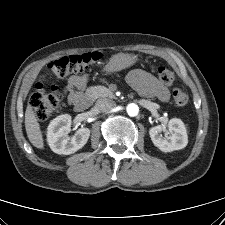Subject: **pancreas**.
<instances>
[{"label":"pancreas","mask_w":225,"mask_h":225,"mask_svg":"<svg viewBox=\"0 0 225 225\" xmlns=\"http://www.w3.org/2000/svg\"><path fill=\"white\" fill-rule=\"evenodd\" d=\"M87 94L93 98L113 97V93L104 86H92L87 90Z\"/></svg>","instance_id":"pancreas-1"}]
</instances>
